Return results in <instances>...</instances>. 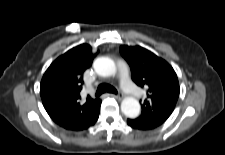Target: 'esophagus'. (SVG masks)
Returning <instances> with one entry per match:
<instances>
[{"instance_id": "esophagus-1", "label": "esophagus", "mask_w": 225, "mask_h": 155, "mask_svg": "<svg viewBox=\"0 0 225 155\" xmlns=\"http://www.w3.org/2000/svg\"><path fill=\"white\" fill-rule=\"evenodd\" d=\"M111 96L117 98L118 100H121L122 99V94L121 93H118V94H110Z\"/></svg>"}]
</instances>
